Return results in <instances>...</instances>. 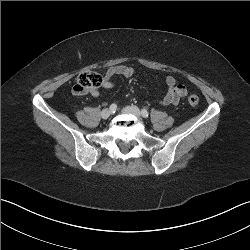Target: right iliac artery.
Here are the masks:
<instances>
[{
	"label": "right iliac artery",
	"mask_w": 250,
	"mask_h": 250,
	"mask_svg": "<svg viewBox=\"0 0 250 250\" xmlns=\"http://www.w3.org/2000/svg\"><path fill=\"white\" fill-rule=\"evenodd\" d=\"M109 108H110L111 111L114 112L117 109V105L116 104H111Z\"/></svg>",
	"instance_id": "right-iliac-artery-1"
}]
</instances>
